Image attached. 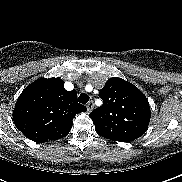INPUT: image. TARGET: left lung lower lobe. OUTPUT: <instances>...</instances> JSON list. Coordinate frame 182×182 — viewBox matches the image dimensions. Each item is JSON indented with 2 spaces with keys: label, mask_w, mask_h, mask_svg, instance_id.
Instances as JSON below:
<instances>
[{
  "label": "left lung lower lobe",
  "mask_w": 182,
  "mask_h": 182,
  "mask_svg": "<svg viewBox=\"0 0 182 182\" xmlns=\"http://www.w3.org/2000/svg\"><path fill=\"white\" fill-rule=\"evenodd\" d=\"M101 136L104 137V138L110 139V140L125 142V141H121V140H118V139H114L112 137H108V136H104V135H101Z\"/></svg>",
  "instance_id": "0a47b994"
}]
</instances>
